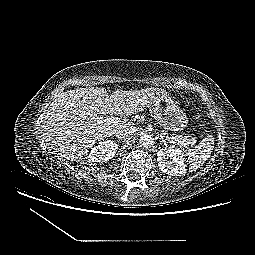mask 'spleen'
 I'll list each match as a JSON object with an SVG mask.
<instances>
[{"label":"spleen","instance_id":"3e777b00","mask_svg":"<svg viewBox=\"0 0 255 255\" xmlns=\"http://www.w3.org/2000/svg\"><path fill=\"white\" fill-rule=\"evenodd\" d=\"M214 148V137L209 134L188 152V162L192 170L198 169L210 156Z\"/></svg>","mask_w":255,"mask_h":255}]
</instances>
